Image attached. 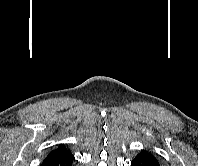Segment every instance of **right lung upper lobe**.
I'll return each mask as SVG.
<instances>
[{"instance_id": "right-lung-upper-lobe-1", "label": "right lung upper lobe", "mask_w": 198, "mask_h": 166, "mask_svg": "<svg viewBox=\"0 0 198 166\" xmlns=\"http://www.w3.org/2000/svg\"><path fill=\"white\" fill-rule=\"evenodd\" d=\"M67 154H71V152L68 149H66V147L64 145H60L57 149L52 150L48 154L46 159L56 158V157L64 156V155H67Z\"/></svg>"}]
</instances>
